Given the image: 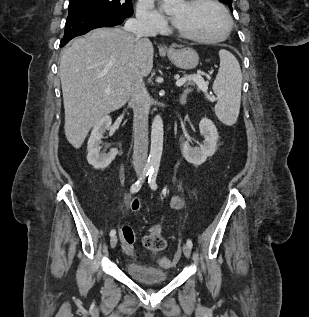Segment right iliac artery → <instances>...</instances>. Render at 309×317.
<instances>
[{
	"instance_id": "82829eb1",
	"label": "right iliac artery",
	"mask_w": 309,
	"mask_h": 317,
	"mask_svg": "<svg viewBox=\"0 0 309 317\" xmlns=\"http://www.w3.org/2000/svg\"><path fill=\"white\" fill-rule=\"evenodd\" d=\"M152 169H153V167L151 165L145 166L142 176L131 186V188H130L131 193H136L141 189L142 184L144 183L146 177L151 173ZM115 234H116V230L112 229L110 231V236L112 237Z\"/></svg>"
}]
</instances>
